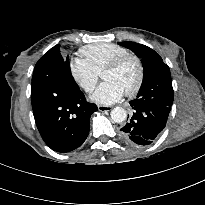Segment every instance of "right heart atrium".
Returning <instances> with one entry per match:
<instances>
[{"mask_svg":"<svg viewBox=\"0 0 205 205\" xmlns=\"http://www.w3.org/2000/svg\"><path fill=\"white\" fill-rule=\"evenodd\" d=\"M69 73L74 83L86 93L93 91L99 78V74L81 58L70 60Z\"/></svg>","mask_w":205,"mask_h":205,"instance_id":"1","label":"right heart atrium"}]
</instances>
